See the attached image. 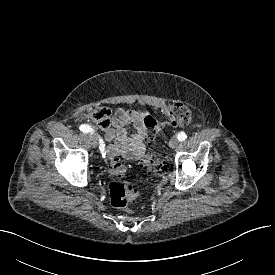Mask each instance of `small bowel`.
I'll return each mask as SVG.
<instances>
[{
    "label": "small bowel",
    "mask_w": 275,
    "mask_h": 275,
    "mask_svg": "<svg viewBox=\"0 0 275 275\" xmlns=\"http://www.w3.org/2000/svg\"><path fill=\"white\" fill-rule=\"evenodd\" d=\"M148 118L152 117L147 111L118 108L112 119V128L105 134V139L109 143L106 150L104 148L105 155L113 161L119 156L127 159L139 157L144 151V141L147 140ZM129 125L135 129L131 136L128 133Z\"/></svg>",
    "instance_id": "small-bowel-1"
}]
</instances>
